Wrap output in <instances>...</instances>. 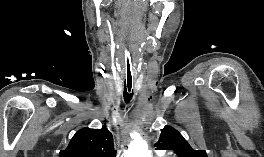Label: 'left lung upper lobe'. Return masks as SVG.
I'll use <instances>...</instances> for the list:
<instances>
[{"label": "left lung upper lobe", "mask_w": 264, "mask_h": 157, "mask_svg": "<svg viewBox=\"0 0 264 157\" xmlns=\"http://www.w3.org/2000/svg\"><path fill=\"white\" fill-rule=\"evenodd\" d=\"M155 147L158 150H172L177 157H207L205 150L192 149L183 136L171 126H165L161 130Z\"/></svg>", "instance_id": "obj_1"}]
</instances>
